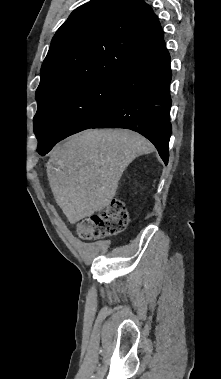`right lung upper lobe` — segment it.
I'll return each mask as SVG.
<instances>
[{
    "label": "right lung upper lobe",
    "instance_id": "obj_1",
    "mask_svg": "<svg viewBox=\"0 0 221 379\" xmlns=\"http://www.w3.org/2000/svg\"><path fill=\"white\" fill-rule=\"evenodd\" d=\"M165 50L158 17L144 0H91L54 35L36 98L98 75H121Z\"/></svg>",
    "mask_w": 221,
    "mask_h": 379
}]
</instances>
